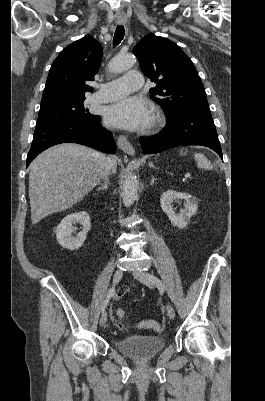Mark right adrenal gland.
Here are the masks:
<instances>
[{"label": "right adrenal gland", "mask_w": 265, "mask_h": 401, "mask_svg": "<svg viewBox=\"0 0 265 401\" xmlns=\"http://www.w3.org/2000/svg\"><path fill=\"white\" fill-rule=\"evenodd\" d=\"M109 186V178H105L103 184L101 186H98L97 190H107Z\"/></svg>", "instance_id": "right-adrenal-gland-1"}]
</instances>
